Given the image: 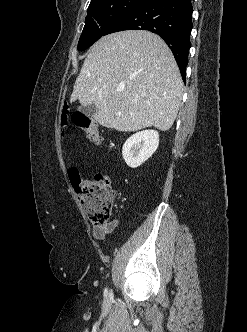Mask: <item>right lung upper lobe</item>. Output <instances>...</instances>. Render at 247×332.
Returning a JSON list of instances; mask_svg holds the SVG:
<instances>
[{
    "mask_svg": "<svg viewBox=\"0 0 247 332\" xmlns=\"http://www.w3.org/2000/svg\"><path fill=\"white\" fill-rule=\"evenodd\" d=\"M96 1H99V0H92L90 4H92V3L96 2Z\"/></svg>",
    "mask_w": 247,
    "mask_h": 332,
    "instance_id": "right-lung-upper-lobe-1",
    "label": "right lung upper lobe"
}]
</instances>
